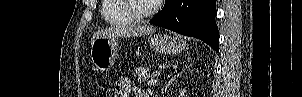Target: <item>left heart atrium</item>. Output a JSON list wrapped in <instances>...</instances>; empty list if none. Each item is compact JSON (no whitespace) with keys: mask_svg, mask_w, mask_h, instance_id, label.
I'll list each match as a JSON object with an SVG mask.
<instances>
[{"mask_svg":"<svg viewBox=\"0 0 302 97\" xmlns=\"http://www.w3.org/2000/svg\"><path fill=\"white\" fill-rule=\"evenodd\" d=\"M152 3H161L163 0H150Z\"/></svg>","mask_w":302,"mask_h":97,"instance_id":"left-heart-atrium-1","label":"left heart atrium"}]
</instances>
